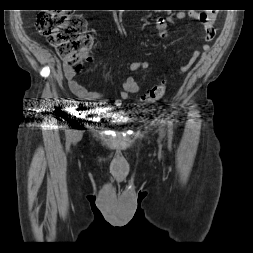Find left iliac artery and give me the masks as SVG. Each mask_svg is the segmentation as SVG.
Listing matches in <instances>:
<instances>
[{
  "mask_svg": "<svg viewBox=\"0 0 253 253\" xmlns=\"http://www.w3.org/2000/svg\"><path fill=\"white\" fill-rule=\"evenodd\" d=\"M168 131H169V138H172V134H173V123L172 121H168Z\"/></svg>",
  "mask_w": 253,
  "mask_h": 253,
  "instance_id": "44dca946",
  "label": "left iliac artery"
}]
</instances>
